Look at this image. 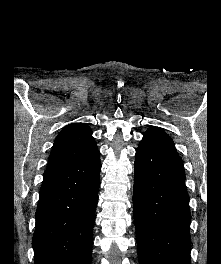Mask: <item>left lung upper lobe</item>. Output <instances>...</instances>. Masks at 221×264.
<instances>
[{"label":"left lung upper lobe","instance_id":"left-lung-upper-lobe-1","mask_svg":"<svg viewBox=\"0 0 221 264\" xmlns=\"http://www.w3.org/2000/svg\"><path fill=\"white\" fill-rule=\"evenodd\" d=\"M142 141L153 142L166 149L169 152L177 154L174 142L165 132L158 128H150L146 131Z\"/></svg>","mask_w":221,"mask_h":264}]
</instances>
